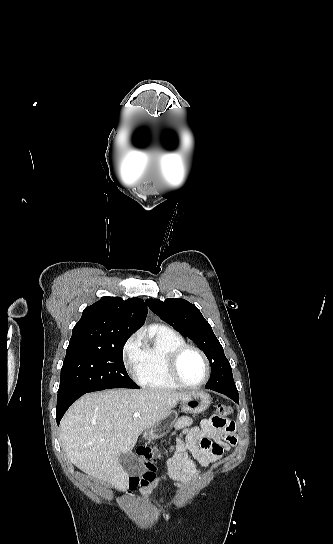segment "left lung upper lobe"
I'll return each mask as SVG.
<instances>
[{
    "label": "left lung upper lobe",
    "instance_id": "5c2ea615",
    "mask_svg": "<svg viewBox=\"0 0 333 544\" xmlns=\"http://www.w3.org/2000/svg\"><path fill=\"white\" fill-rule=\"evenodd\" d=\"M146 304L163 321L193 340L205 353L211 363V376L205 385L206 388L237 391L223 347L210 324L194 304L181 298H168L165 301L146 299Z\"/></svg>",
    "mask_w": 333,
    "mask_h": 544
}]
</instances>
